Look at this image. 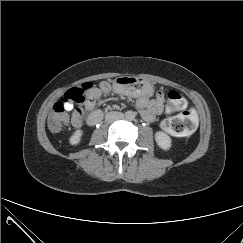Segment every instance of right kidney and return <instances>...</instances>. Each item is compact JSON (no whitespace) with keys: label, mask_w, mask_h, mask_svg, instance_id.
I'll return each instance as SVG.
<instances>
[{"label":"right kidney","mask_w":243,"mask_h":243,"mask_svg":"<svg viewBox=\"0 0 243 243\" xmlns=\"http://www.w3.org/2000/svg\"><path fill=\"white\" fill-rule=\"evenodd\" d=\"M82 135H83L82 130H76L73 133V135L70 137V140H69L70 144L77 145L78 143H80Z\"/></svg>","instance_id":"obj_1"}]
</instances>
